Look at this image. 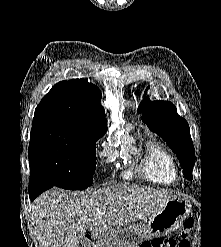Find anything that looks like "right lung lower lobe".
I'll list each match as a JSON object with an SVG mask.
<instances>
[{"label": "right lung lower lobe", "mask_w": 221, "mask_h": 247, "mask_svg": "<svg viewBox=\"0 0 221 247\" xmlns=\"http://www.w3.org/2000/svg\"><path fill=\"white\" fill-rule=\"evenodd\" d=\"M52 187L53 185L47 182L46 180L35 175H30V180H29L30 200L33 201L39 194Z\"/></svg>", "instance_id": "1"}]
</instances>
